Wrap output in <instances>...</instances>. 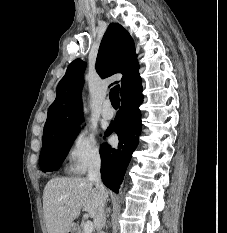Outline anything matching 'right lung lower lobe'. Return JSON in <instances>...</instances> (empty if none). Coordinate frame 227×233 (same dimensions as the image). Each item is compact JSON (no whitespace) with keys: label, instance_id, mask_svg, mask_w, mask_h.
<instances>
[{"label":"right lung lower lobe","instance_id":"1","mask_svg":"<svg viewBox=\"0 0 227 233\" xmlns=\"http://www.w3.org/2000/svg\"><path fill=\"white\" fill-rule=\"evenodd\" d=\"M143 102L142 86L121 98V110L105 135L115 131L119 137V144L112 149L107 143L100 149L101 177L103 183L118 193L125 171L133 151L139 142L141 132V113L139 105Z\"/></svg>","mask_w":227,"mask_h":233}]
</instances>
